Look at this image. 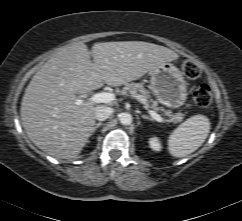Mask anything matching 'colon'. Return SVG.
Instances as JSON below:
<instances>
[{
  "instance_id": "obj_1",
  "label": "colon",
  "mask_w": 242,
  "mask_h": 221,
  "mask_svg": "<svg viewBox=\"0 0 242 221\" xmlns=\"http://www.w3.org/2000/svg\"><path fill=\"white\" fill-rule=\"evenodd\" d=\"M184 75L190 79L198 78L201 74L199 66L192 61H184L181 65ZM193 100L199 107H207L212 101V92L208 85L199 86L193 93Z\"/></svg>"
}]
</instances>
